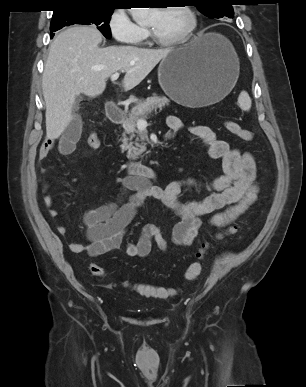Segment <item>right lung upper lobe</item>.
Wrapping results in <instances>:
<instances>
[{
  "label": "right lung upper lobe",
  "instance_id": "obj_1",
  "mask_svg": "<svg viewBox=\"0 0 306 387\" xmlns=\"http://www.w3.org/2000/svg\"><path fill=\"white\" fill-rule=\"evenodd\" d=\"M57 8L53 14L73 7H110L113 8L116 0H57Z\"/></svg>",
  "mask_w": 306,
  "mask_h": 387
}]
</instances>
